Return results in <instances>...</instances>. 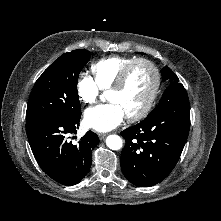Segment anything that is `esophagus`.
Instances as JSON below:
<instances>
[{"label":"esophagus","mask_w":221,"mask_h":221,"mask_svg":"<svg viewBox=\"0 0 221 221\" xmlns=\"http://www.w3.org/2000/svg\"><path fill=\"white\" fill-rule=\"evenodd\" d=\"M98 136H99V139H100V140H104L105 137H106V134L99 133Z\"/></svg>","instance_id":"1"}]
</instances>
